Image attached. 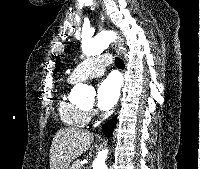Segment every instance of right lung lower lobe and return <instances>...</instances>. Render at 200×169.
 <instances>
[{
  "mask_svg": "<svg viewBox=\"0 0 200 169\" xmlns=\"http://www.w3.org/2000/svg\"><path fill=\"white\" fill-rule=\"evenodd\" d=\"M116 124V117L112 118L110 121H108L104 126H103V132L107 137L111 136V133L115 127Z\"/></svg>",
  "mask_w": 200,
  "mask_h": 169,
  "instance_id": "1",
  "label": "right lung lower lobe"
}]
</instances>
